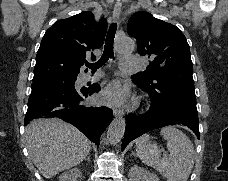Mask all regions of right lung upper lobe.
Masks as SVG:
<instances>
[{
	"label": "right lung upper lobe",
	"mask_w": 228,
	"mask_h": 181,
	"mask_svg": "<svg viewBox=\"0 0 228 181\" xmlns=\"http://www.w3.org/2000/svg\"><path fill=\"white\" fill-rule=\"evenodd\" d=\"M106 30V19L96 22L89 11L57 21L41 41L33 81L77 76L89 52L102 47Z\"/></svg>",
	"instance_id": "obj_1"
}]
</instances>
